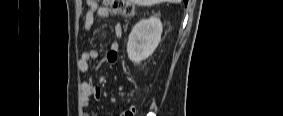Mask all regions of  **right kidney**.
<instances>
[{"mask_svg":"<svg viewBox=\"0 0 283 116\" xmlns=\"http://www.w3.org/2000/svg\"><path fill=\"white\" fill-rule=\"evenodd\" d=\"M163 31L161 21L153 16L140 20L132 29L127 43L131 61L140 63L152 55L157 48Z\"/></svg>","mask_w":283,"mask_h":116,"instance_id":"ca27d5eb","label":"right kidney"}]
</instances>
